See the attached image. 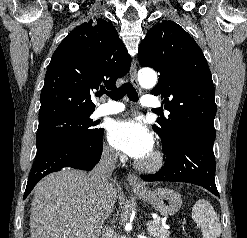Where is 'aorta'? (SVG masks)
Masks as SVG:
<instances>
[{"mask_svg": "<svg viewBox=\"0 0 247 238\" xmlns=\"http://www.w3.org/2000/svg\"><path fill=\"white\" fill-rule=\"evenodd\" d=\"M138 81L144 88H153L157 83V75L151 69H141L138 72Z\"/></svg>", "mask_w": 247, "mask_h": 238, "instance_id": "aorta-1", "label": "aorta"}]
</instances>
